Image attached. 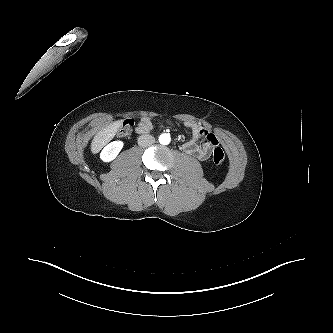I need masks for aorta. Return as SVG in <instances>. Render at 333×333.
<instances>
[{
	"label": "aorta",
	"mask_w": 333,
	"mask_h": 333,
	"mask_svg": "<svg viewBox=\"0 0 333 333\" xmlns=\"http://www.w3.org/2000/svg\"><path fill=\"white\" fill-rule=\"evenodd\" d=\"M171 141L170 134L163 133L159 136V142L162 145H168Z\"/></svg>",
	"instance_id": "762f6f07"
}]
</instances>
